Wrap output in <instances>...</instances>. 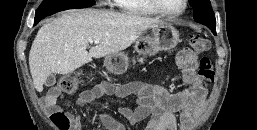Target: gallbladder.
<instances>
[{
    "mask_svg": "<svg viewBox=\"0 0 257 130\" xmlns=\"http://www.w3.org/2000/svg\"><path fill=\"white\" fill-rule=\"evenodd\" d=\"M55 83H56V77H55V75L51 74L50 76L47 77L44 84L47 87H51V86L55 85Z\"/></svg>",
    "mask_w": 257,
    "mask_h": 130,
    "instance_id": "bac80fb5",
    "label": "gallbladder"
}]
</instances>
